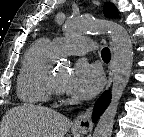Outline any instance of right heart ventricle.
<instances>
[{
  "instance_id": "right-heart-ventricle-1",
  "label": "right heart ventricle",
  "mask_w": 144,
  "mask_h": 137,
  "mask_svg": "<svg viewBox=\"0 0 144 137\" xmlns=\"http://www.w3.org/2000/svg\"><path fill=\"white\" fill-rule=\"evenodd\" d=\"M58 53L52 42L42 39L34 43L26 52L18 80L17 95L26 104H45L52 93L48 81L51 65Z\"/></svg>"
}]
</instances>
